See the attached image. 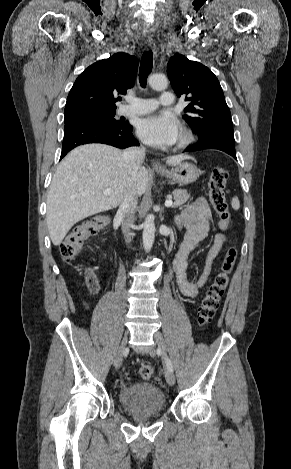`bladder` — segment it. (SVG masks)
<instances>
[{
  "label": "bladder",
  "mask_w": 291,
  "mask_h": 469,
  "mask_svg": "<svg viewBox=\"0 0 291 469\" xmlns=\"http://www.w3.org/2000/svg\"><path fill=\"white\" fill-rule=\"evenodd\" d=\"M118 398L121 405L131 412H159L166 402L164 393L158 387L145 382L123 387Z\"/></svg>",
  "instance_id": "obj_1"
}]
</instances>
